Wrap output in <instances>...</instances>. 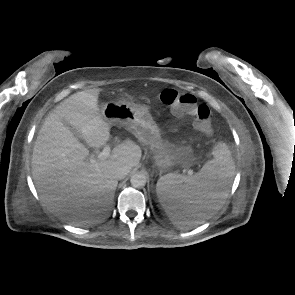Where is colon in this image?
I'll return each mask as SVG.
<instances>
[{
  "label": "colon",
  "instance_id": "5ec220e1",
  "mask_svg": "<svg viewBox=\"0 0 295 295\" xmlns=\"http://www.w3.org/2000/svg\"><path fill=\"white\" fill-rule=\"evenodd\" d=\"M160 100L169 106L177 117H192L195 127L203 134L212 133L211 110L206 105L198 104L192 94L169 88L162 91Z\"/></svg>",
  "mask_w": 295,
  "mask_h": 295
}]
</instances>
